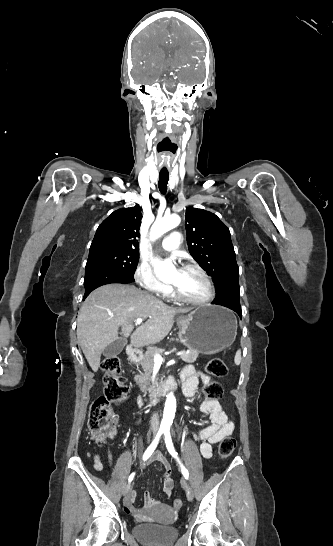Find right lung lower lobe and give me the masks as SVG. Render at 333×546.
<instances>
[{
  "mask_svg": "<svg viewBox=\"0 0 333 546\" xmlns=\"http://www.w3.org/2000/svg\"><path fill=\"white\" fill-rule=\"evenodd\" d=\"M134 278L126 273L112 270L104 267H92L85 270L84 287L85 294L83 300L91 291L99 286L110 283H131Z\"/></svg>",
  "mask_w": 333,
  "mask_h": 546,
  "instance_id": "right-lung-lower-lobe-1",
  "label": "right lung lower lobe"
}]
</instances>
